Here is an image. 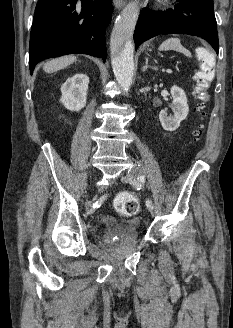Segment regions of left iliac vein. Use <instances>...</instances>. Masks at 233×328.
Here are the masks:
<instances>
[{
  "instance_id": "1",
  "label": "left iliac vein",
  "mask_w": 233,
  "mask_h": 328,
  "mask_svg": "<svg viewBox=\"0 0 233 328\" xmlns=\"http://www.w3.org/2000/svg\"><path fill=\"white\" fill-rule=\"evenodd\" d=\"M139 175H140V169L134 165L129 170L128 174L126 176L122 177V181L124 183H129L131 185H134V183L137 181V178L139 177ZM148 209L151 212V214L154 215L153 208L148 207Z\"/></svg>"
}]
</instances>
